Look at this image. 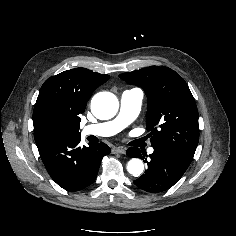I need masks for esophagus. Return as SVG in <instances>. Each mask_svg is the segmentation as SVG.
<instances>
[{
    "label": "esophagus",
    "mask_w": 236,
    "mask_h": 236,
    "mask_svg": "<svg viewBox=\"0 0 236 236\" xmlns=\"http://www.w3.org/2000/svg\"><path fill=\"white\" fill-rule=\"evenodd\" d=\"M112 154H125L126 153V148L124 147H113L111 150Z\"/></svg>",
    "instance_id": "1"
}]
</instances>
